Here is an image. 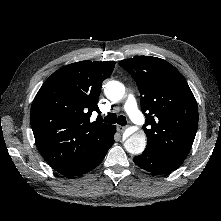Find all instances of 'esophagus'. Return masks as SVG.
Returning a JSON list of instances; mask_svg holds the SVG:
<instances>
[{
  "instance_id": "esophagus-1",
  "label": "esophagus",
  "mask_w": 221,
  "mask_h": 221,
  "mask_svg": "<svg viewBox=\"0 0 221 221\" xmlns=\"http://www.w3.org/2000/svg\"><path fill=\"white\" fill-rule=\"evenodd\" d=\"M125 129H126V127H124V126H121V125H118V126H117V130H118L119 132H123V131H125Z\"/></svg>"
}]
</instances>
